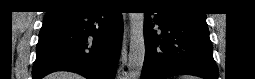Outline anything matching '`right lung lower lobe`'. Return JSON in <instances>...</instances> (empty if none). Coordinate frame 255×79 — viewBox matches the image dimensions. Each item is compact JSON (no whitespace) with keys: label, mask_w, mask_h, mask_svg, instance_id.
<instances>
[{"label":"right lung lower lobe","mask_w":255,"mask_h":79,"mask_svg":"<svg viewBox=\"0 0 255 79\" xmlns=\"http://www.w3.org/2000/svg\"><path fill=\"white\" fill-rule=\"evenodd\" d=\"M122 32L119 11L94 7L46 14L36 47L33 79L60 70L88 79H114Z\"/></svg>","instance_id":"right-lung-lower-lobe-1"}]
</instances>
